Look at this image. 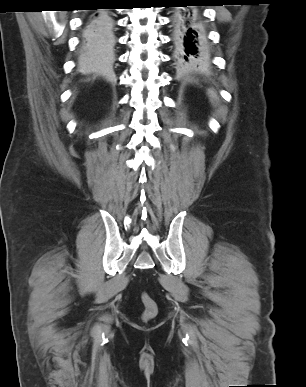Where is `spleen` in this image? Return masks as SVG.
I'll use <instances>...</instances> for the list:
<instances>
[{"mask_svg": "<svg viewBox=\"0 0 306 387\" xmlns=\"http://www.w3.org/2000/svg\"><path fill=\"white\" fill-rule=\"evenodd\" d=\"M209 95H210L211 98H214V97H215L214 93L211 92V91H209Z\"/></svg>", "mask_w": 306, "mask_h": 387, "instance_id": "spleen-1", "label": "spleen"}]
</instances>
